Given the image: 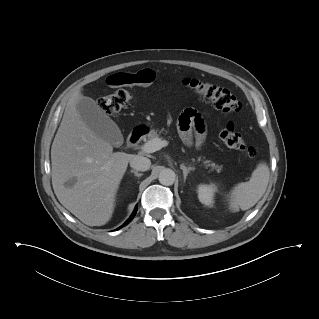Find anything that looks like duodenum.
I'll use <instances>...</instances> for the list:
<instances>
[{
	"label": "duodenum",
	"mask_w": 319,
	"mask_h": 319,
	"mask_svg": "<svg viewBox=\"0 0 319 319\" xmlns=\"http://www.w3.org/2000/svg\"><path fill=\"white\" fill-rule=\"evenodd\" d=\"M145 133V129L144 128H138V129H135L134 131H132L128 138H127V144L129 146H134L136 145L140 139L143 137Z\"/></svg>",
	"instance_id": "410a0bca"
}]
</instances>
